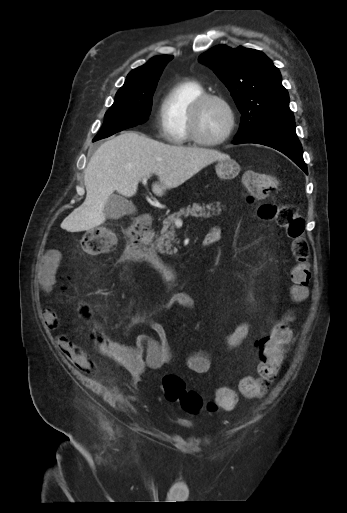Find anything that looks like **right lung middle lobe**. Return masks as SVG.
Here are the masks:
<instances>
[{"label":"right lung middle lobe","instance_id":"right-lung-middle-lobe-1","mask_svg":"<svg viewBox=\"0 0 347 513\" xmlns=\"http://www.w3.org/2000/svg\"><path fill=\"white\" fill-rule=\"evenodd\" d=\"M156 86L157 82H154L136 89H119L113 105L105 114L104 124L94 141L146 122L151 111L152 96Z\"/></svg>","mask_w":347,"mask_h":513}]
</instances>
